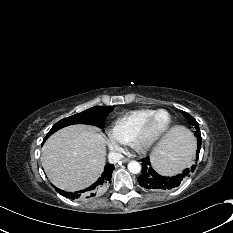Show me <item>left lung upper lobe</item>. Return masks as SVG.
Returning a JSON list of instances; mask_svg holds the SVG:
<instances>
[{"mask_svg": "<svg viewBox=\"0 0 233 233\" xmlns=\"http://www.w3.org/2000/svg\"><path fill=\"white\" fill-rule=\"evenodd\" d=\"M183 113V115L185 116V118L188 120L189 124L193 125L196 129L195 133V137L197 138L198 141H201V134H200V129H199V124L197 123V121L187 112L185 111H181Z\"/></svg>", "mask_w": 233, "mask_h": 233, "instance_id": "1", "label": "left lung upper lobe"}]
</instances>
